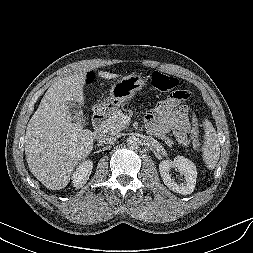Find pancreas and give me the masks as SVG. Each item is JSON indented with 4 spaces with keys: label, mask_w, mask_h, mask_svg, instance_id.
Listing matches in <instances>:
<instances>
[{
    "label": "pancreas",
    "mask_w": 253,
    "mask_h": 253,
    "mask_svg": "<svg viewBox=\"0 0 253 253\" xmlns=\"http://www.w3.org/2000/svg\"><path fill=\"white\" fill-rule=\"evenodd\" d=\"M124 113L120 109L114 110L110 117L106 120L104 125V132L116 135L120 131L126 128V124L123 122ZM165 143L168 146H172L173 141L169 137H164Z\"/></svg>",
    "instance_id": "pancreas-1"
}]
</instances>
